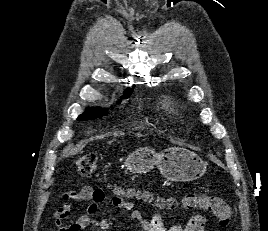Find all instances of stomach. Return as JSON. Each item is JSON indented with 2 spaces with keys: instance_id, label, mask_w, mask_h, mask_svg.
I'll list each match as a JSON object with an SVG mask.
<instances>
[{
  "instance_id": "1",
  "label": "stomach",
  "mask_w": 268,
  "mask_h": 231,
  "mask_svg": "<svg viewBox=\"0 0 268 231\" xmlns=\"http://www.w3.org/2000/svg\"><path fill=\"white\" fill-rule=\"evenodd\" d=\"M130 172L144 174L157 166L164 178L172 182H187L202 177L207 162L196 153L172 146L159 153L150 147L138 148L128 154L124 161Z\"/></svg>"
}]
</instances>
